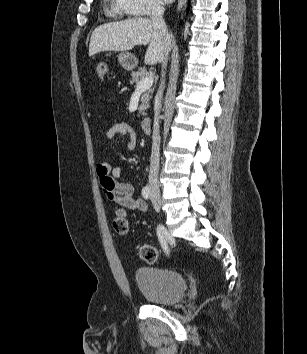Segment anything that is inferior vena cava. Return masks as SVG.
<instances>
[{
	"label": "inferior vena cava",
	"mask_w": 307,
	"mask_h": 354,
	"mask_svg": "<svg viewBox=\"0 0 307 354\" xmlns=\"http://www.w3.org/2000/svg\"><path fill=\"white\" fill-rule=\"evenodd\" d=\"M164 7L160 4H155L151 9V22L158 29L162 35L163 41L166 44L170 43V35L167 30L166 23L163 19ZM168 53L165 55V58L162 62V81L156 98L159 100L162 98L163 90L165 87V71L164 69L167 66ZM161 105L158 102L155 108L154 114V124H153V136H152V153H151V162H150V171H149V187L152 194L159 193V181H158V172H159V161H160V130H159V115H160Z\"/></svg>",
	"instance_id": "1"
}]
</instances>
